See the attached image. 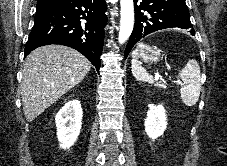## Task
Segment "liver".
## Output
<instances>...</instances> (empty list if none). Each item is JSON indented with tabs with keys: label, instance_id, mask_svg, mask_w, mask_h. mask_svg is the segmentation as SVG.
<instances>
[{
	"label": "liver",
	"instance_id": "6515ba94",
	"mask_svg": "<svg viewBox=\"0 0 227 166\" xmlns=\"http://www.w3.org/2000/svg\"><path fill=\"white\" fill-rule=\"evenodd\" d=\"M91 63L78 51L63 45H46L26 58L21 82L22 106L32 122L62 95L80 83Z\"/></svg>",
	"mask_w": 227,
	"mask_h": 166
}]
</instances>
